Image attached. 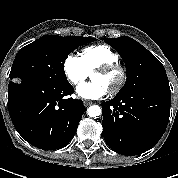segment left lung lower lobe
I'll return each instance as SVG.
<instances>
[{"instance_id": "0a47b994", "label": "left lung lower lobe", "mask_w": 178, "mask_h": 178, "mask_svg": "<svg viewBox=\"0 0 178 178\" xmlns=\"http://www.w3.org/2000/svg\"><path fill=\"white\" fill-rule=\"evenodd\" d=\"M170 105L171 93L149 89L117 94L103 102L102 127L107 145L126 156L148 151L166 130Z\"/></svg>"}]
</instances>
